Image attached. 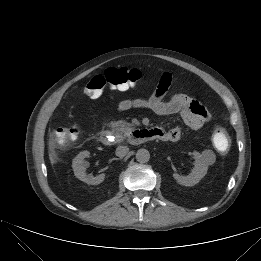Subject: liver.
Wrapping results in <instances>:
<instances>
[{
	"instance_id": "1",
	"label": "liver",
	"mask_w": 261,
	"mask_h": 261,
	"mask_svg": "<svg viewBox=\"0 0 261 261\" xmlns=\"http://www.w3.org/2000/svg\"><path fill=\"white\" fill-rule=\"evenodd\" d=\"M50 161L52 164L54 163V159L52 158V156H50Z\"/></svg>"
}]
</instances>
